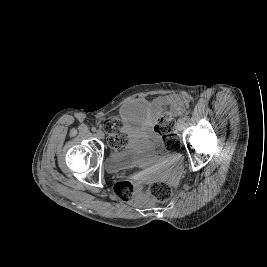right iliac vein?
Wrapping results in <instances>:
<instances>
[{
	"mask_svg": "<svg viewBox=\"0 0 267 267\" xmlns=\"http://www.w3.org/2000/svg\"><path fill=\"white\" fill-rule=\"evenodd\" d=\"M104 133L102 132V131H97V137L99 138V139H103L104 138Z\"/></svg>",
	"mask_w": 267,
	"mask_h": 267,
	"instance_id": "63e3f726",
	"label": "right iliac vein"
}]
</instances>
